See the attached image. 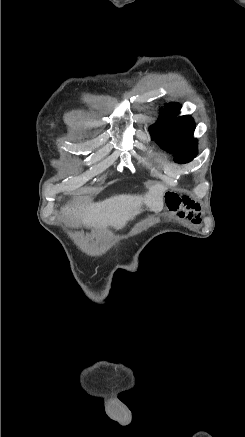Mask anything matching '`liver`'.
Masks as SVG:
<instances>
[{"label":"liver","mask_w":245,"mask_h":437,"mask_svg":"<svg viewBox=\"0 0 245 437\" xmlns=\"http://www.w3.org/2000/svg\"><path fill=\"white\" fill-rule=\"evenodd\" d=\"M165 191V186L155 184L149 186L144 195L122 194L100 203L77 204L75 208L66 207L63 211L67 215L72 214L77 225L83 224L89 228L112 226L121 229L129 220L143 211V206L155 213L160 212L164 206L163 195Z\"/></svg>","instance_id":"1"}]
</instances>
